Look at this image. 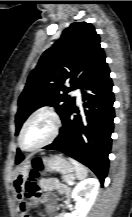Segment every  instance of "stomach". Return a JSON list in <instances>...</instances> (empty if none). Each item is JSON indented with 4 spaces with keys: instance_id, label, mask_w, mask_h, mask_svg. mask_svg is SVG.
Listing matches in <instances>:
<instances>
[{
    "instance_id": "0dacf381",
    "label": "stomach",
    "mask_w": 132,
    "mask_h": 217,
    "mask_svg": "<svg viewBox=\"0 0 132 217\" xmlns=\"http://www.w3.org/2000/svg\"><path fill=\"white\" fill-rule=\"evenodd\" d=\"M41 164L43 169L48 172L71 174L75 170L72 163L60 154L41 158ZM32 167V162H28L25 166L18 170L14 178V184L16 186H23L30 175Z\"/></svg>"
}]
</instances>
